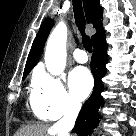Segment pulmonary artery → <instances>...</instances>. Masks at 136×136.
Returning a JSON list of instances; mask_svg holds the SVG:
<instances>
[{
	"instance_id": "1",
	"label": "pulmonary artery",
	"mask_w": 136,
	"mask_h": 136,
	"mask_svg": "<svg viewBox=\"0 0 136 136\" xmlns=\"http://www.w3.org/2000/svg\"><path fill=\"white\" fill-rule=\"evenodd\" d=\"M73 56L76 59V61H78L80 63H85L88 60V56H87L86 52L81 48L75 49L73 52Z\"/></svg>"
}]
</instances>
